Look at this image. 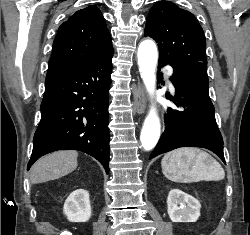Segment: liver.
I'll list each match as a JSON object with an SVG mask.
<instances>
[{"instance_id":"1","label":"liver","mask_w":250,"mask_h":235,"mask_svg":"<svg viewBox=\"0 0 250 235\" xmlns=\"http://www.w3.org/2000/svg\"><path fill=\"white\" fill-rule=\"evenodd\" d=\"M77 157V152L66 150L40 158L31 168V182L37 184L69 174L78 165Z\"/></svg>"}]
</instances>
